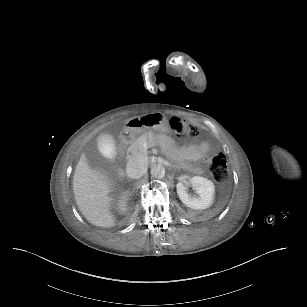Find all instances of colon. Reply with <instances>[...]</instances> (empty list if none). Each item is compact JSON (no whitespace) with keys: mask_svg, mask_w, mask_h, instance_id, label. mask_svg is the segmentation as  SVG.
Returning a JSON list of instances; mask_svg holds the SVG:
<instances>
[{"mask_svg":"<svg viewBox=\"0 0 307 307\" xmlns=\"http://www.w3.org/2000/svg\"><path fill=\"white\" fill-rule=\"evenodd\" d=\"M168 125L173 132L181 140L194 139L199 134L197 126L184 122L176 116H172L168 120ZM210 170L218 182H223L228 177V160L227 156L223 153H214L208 156Z\"/></svg>","mask_w":307,"mask_h":307,"instance_id":"5ec220e1","label":"colon"}]
</instances>
